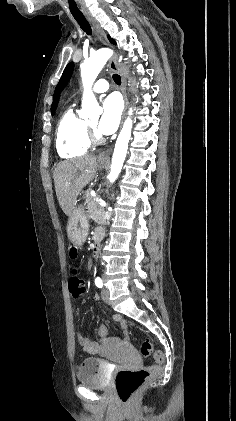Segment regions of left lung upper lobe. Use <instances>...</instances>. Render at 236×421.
<instances>
[{
  "label": "left lung upper lobe",
  "instance_id": "1",
  "mask_svg": "<svg viewBox=\"0 0 236 421\" xmlns=\"http://www.w3.org/2000/svg\"><path fill=\"white\" fill-rule=\"evenodd\" d=\"M108 39H109V41L111 43L116 44L115 40L111 39L110 36H108ZM73 66H74V64L72 62H70L66 66V68L64 69V72H63V74L61 76V79H60V81H59V83H58V85H57V87L55 89L54 97H56L60 93V91L65 87V85L69 81V79H70V77L72 75ZM53 106H54V103H53L52 108H51L52 111H53Z\"/></svg>",
  "mask_w": 236,
  "mask_h": 421
}]
</instances>
